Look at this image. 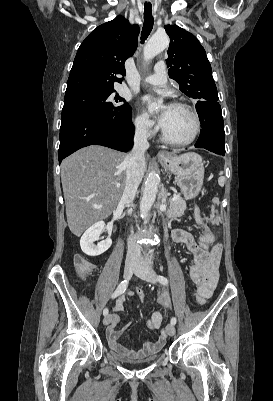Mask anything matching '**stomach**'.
<instances>
[{
	"label": "stomach",
	"instance_id": "obj_1",
	"mask_svg": "<svg viewBox=\"0 0 273 401\" xmlns=\"http://www.w3.org/2000/svg\"><path fill=\"white\" fill-rule=\"evenodd\" d=\"M167 158L158 156L162 166L165 170L173 172L177 176L178 186L182 190V194L186 201L188 198H195L204 182V166L202 162V156L197 152H184V154H172V152H166Z\"/></svg>",
	"mask_w": 273,
	"mask_h": 401
}]
</instances>
